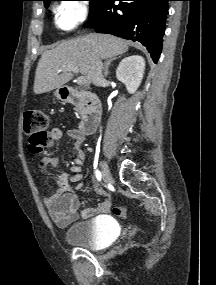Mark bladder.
I'll list each match as a JSON object with an SVG mask.
<instances>
[{"label":"bladder","mask_w":216,"mask_h":285,"mask_svg":"<svg viewBox=\"0 0 216 285\" xmlns=\"http://www.w3.org/2000/svg\"><path fill=\"white\" fill-rule=\"evenodd\" d=\"M118 236V227L108 216L82 220L70 225L64 234L68 244L88 250L110 246Z\"/></svg>","instance_id":"bladder-1"}]
</instances>
